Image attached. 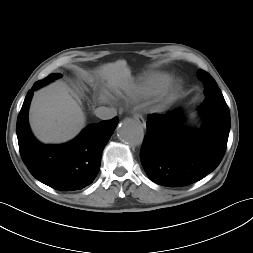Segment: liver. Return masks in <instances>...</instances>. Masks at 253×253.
Returning <instances> with one entry per match:
<instances>
[{"label":"liver","mask_w":253,"mask_h":253,"mask_svg":"<svg viewBox=\"0 0 253 253\" xmlns=\"http://www.w3.org/2000/svg\"><path fill=\"white\" fill-rule=\"evenodd\" d=\"M97 73L110 87L130 77L125 60L103 65ZM88 76L86 72H83ZM29 122L35 136L44 143H62L75 137L85 125V115L63 82H55L36 92L30 107Z\"/></svg>","instance_id":"obj_1"}]
</instances>
